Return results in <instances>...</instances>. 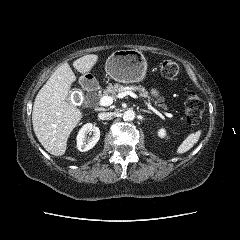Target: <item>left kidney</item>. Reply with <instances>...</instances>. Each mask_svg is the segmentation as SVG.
Here are the masks:
<instances>
[{
    "label": "left kidney",
    "instance_id": "left-kidney-1",
    "mask_svg": "<svg viewBox=\"0 0 240 240\" xmlns=\"http://www.w3.org/2000/svg\"><path fill=\"white\" fill-rule=\"evenodd\" d=\"M158 136H159L160 138L166 137V130H165V129H160V130L158 131Z\"/></svg>",
    "mask_w": 240,
    "mask_h": 240
}]
</instances>
